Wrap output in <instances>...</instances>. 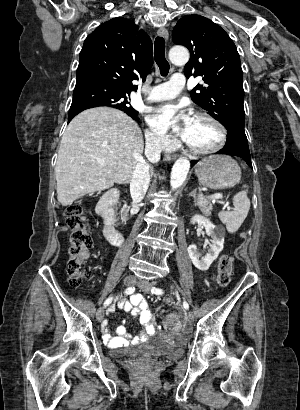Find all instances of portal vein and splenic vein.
Segmentation results:
<instances>
[{"mask_svg":"<svg viewBox=\"0 0 300 410\" xmlns=\"http://www.w3.org/2000/svg\"><path fill=\"white\" fill-rule=\"evenodd\" d=\"M97 162L99 164H104L105 163L104 160H102V159H99ZM222 197H223L222 194L216 193V194H213L211 196H207L206 198L211 199V200H218V199H222ZM199 198H204L205 199V197L202 196V195H199ZM227 209L229 210L230 208L227 207Z\"/></svg>","mask_w":300,"mask_h":410,"instance_id":"1","label":"portal vein and splenic vein"}]
</instances>
